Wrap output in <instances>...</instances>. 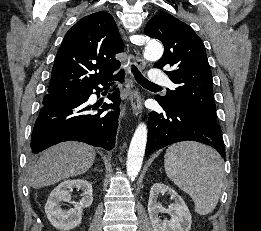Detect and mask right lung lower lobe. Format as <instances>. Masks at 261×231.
<instances>
[{
	"instance_id": "right-lung-lower-lobe-1",
	"label": "right lung lower lobe",
	"mask_w": 261,
	"mask_h": 231,
	"mask_svg": "<svg viewBox=\"0 0 261 231\" xmlns=\"http://www.w3.org/2000/svg\"><path fill=\"white\" fill-rule=\"evenodd\" d=\"M124 78L122 71L115 79ZM114 77L107 81L95 84L81 95L43 106L33 128L31 136L32 153L37 154L46 148L62 141H80L96 147L111 150L115 144L118 127L120 93L117 89L108 96L112 104L104 103L98 113L97 109L87 104L89 96L95 89L98 92L99 84L107 87ZM113 109L108 113L105 110Z\"/></svg>"
}]
</instances>
